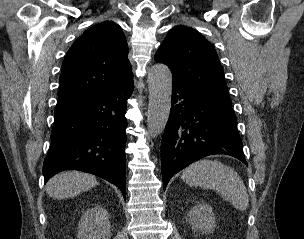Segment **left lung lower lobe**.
Listing matches in <instances>:
<instances>
[{"label": "left lung lower lobe", "mask_w": 304, "mask_h": 239, "mask_svg": "<svg viewBox=\"0 0 304 239\" xmlns=\"http://www.w3.org/2000/svg\"><path fill=\"white\" fill-rule=\"evenodd\" d=\"M172 87V107L161 143L164 190L174 174L208 155H230L247 165L232 105L177 82Z\"/></svg>", "instance_id": "0a47b994"}]
</instances>
